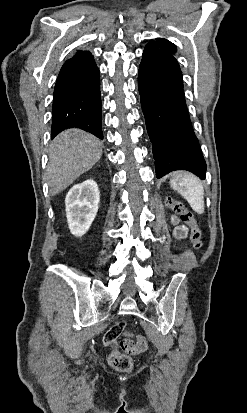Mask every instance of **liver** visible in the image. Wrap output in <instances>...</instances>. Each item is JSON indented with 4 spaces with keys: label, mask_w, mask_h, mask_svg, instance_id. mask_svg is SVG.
<instances>
[{
    "label": "liver",
    "mask_w": 247,
    "mask_h": 413,
    "mask_svg": "<svg viewBox=\"0 0 247 413\" xmlns=\"http://www.w3.org/2000/svg\"><path fill=\"white\" fill-rule=\"evenodd\" d=\"M102 146V140L80 128H68L57 134L50 144L46 168L50 194H58L92 168L101 158Z\"/></svg>",
    "instance_id": "obj_1"
}]
</instances>
